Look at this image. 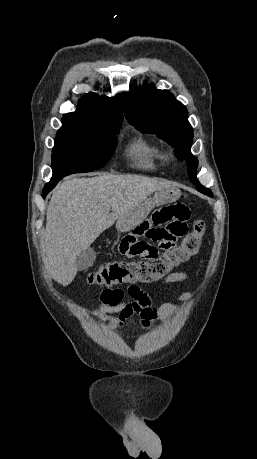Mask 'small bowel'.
I'll list each match as a JSON object with an SVG mask.
<instances>
[{"mask_svg":"<svg viewBox=\"0 0 257 459\" xmlns=\"http://www.w3.org/2000/svg\"><path fill=\"white\" fill-rule=\"evenodd\" d=\"M191 220L190 205L184 200H174L172 205H154L150 217L143 223H134V230H128L124 239L117 240V255L122 264H143L144 261H157L159 251H176L182 236H192L194 229L186 227ZM191 275L184 271L171 272L162 278L163 285L182 283ZM191 292L172 295L174 299L185 300ZM101 304L91 314L102 321L103 329H121L126 321L139 316L143 328L151 329L160 319H167L178 311L173 303L160 307L152 304L150 297L136 284L126 291L107 288L100 295ZM118 313V316H113Z\"/></svg>","mask_w":257,"mask_h":459,"instance_id":"1","label":"small bowel"}]
</instances>
